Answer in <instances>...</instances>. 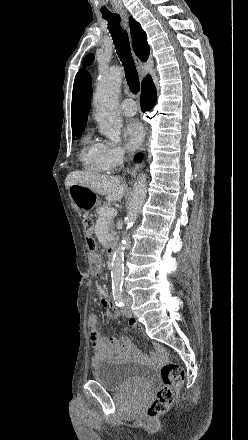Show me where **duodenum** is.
Returning a JSON list of instances; mask_svg holds the SVG:
<instances>
[{
  "instance_id": "410a0bca",
  "label": "duodenum",
  "mask_w": 248,
  "mask_h": 440,
  "mask_svg": "<svg viewBox=\"0 0 248 440\" xmlns=\"http://www.w3.org/2000/svg\"><path fill=\"white\" fill-rule=\"evenodd\" d=\"M115 245L110 243L107 247V258H108V262L112 261L113 255L115 253Z\"/></svg>"
}]
</instances>
